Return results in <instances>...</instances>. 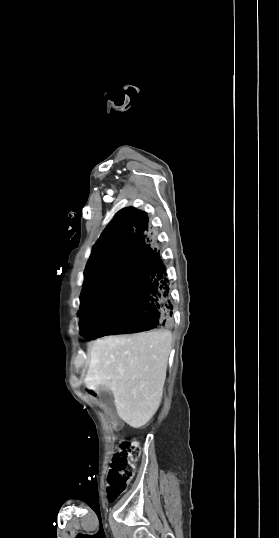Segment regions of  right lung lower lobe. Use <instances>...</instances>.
Wrapping results in <instances>:
<instances>
[{
  "label": "right lung lower lobe",
  "mask_w": 279,
  "mask_h": 538,
  "mask_svg": "<svg viewBox=\"0 0 279 538\" xmlns=\"http://www.w3.org/2000/svg\"><path fill=\"white\" fill-rule=\"evenodd\" d=\"M155 244L147 213L133 207L106 226L84 272L79 310L84 338L171 328L169 280Z\"/></svg>",
  "instance_id": "1"
}]
</instances>
